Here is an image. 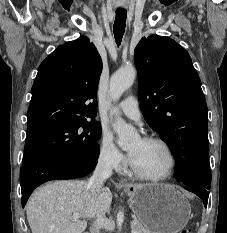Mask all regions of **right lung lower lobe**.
Returning <instances> with one entry per match:
<instances>
[{
    "label": "right lung lower lobe",
    "instance_id": "1",
    "mask_svg": "<svg viewBox=\"0 0 227 233\" xmlns=\"http://www.w3.org/2000/svg\"><path fill=\"white\" fill-rule=\"evenodd\" d=\"M99 151L87 158L67 154H54L39 157L26 164L20 170L22 207L36 187L44 182L56 179H73L87 175L94 170Z\"/></svg>",
    "mask_w": 227,
    "mask_h": 233
}]
</instances>
